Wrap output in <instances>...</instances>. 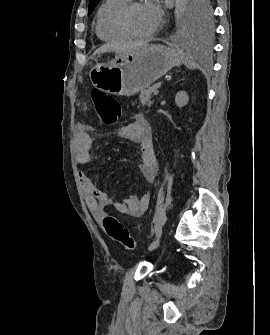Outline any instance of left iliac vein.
<instances>
[{
    "label": "left iliac vein",
    "mask_w": 270,
    "mask_h": 335,
    "mask_svg": "<svg viewBox=\"0 0 270 335\" xmlns=\"http://www.w3.org/2000/svg\"><path fill=\"white\" fill-rule=\"evenodd\" d=\"M159 244H160V239L155 240L154 242L150 244V246L148 247V250L149 251L154 250L155 248L159 246Z\"/></svg>",
    "instance_id": "left-iliac-vein-1"
}]
</instances>
